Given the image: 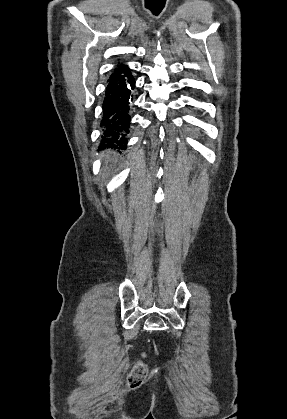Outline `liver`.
Instances as JSON below:
<instances>
[{
    "label": "liver",
    "mask_w": 287,
    "mask_h": 419,
    "mask_svg": "<svg viewBox=\"0 0 287 419\" xmlns=\"http://www.w3.org/2000/svg\"><path fill=\"white\" fill-rule=\"evenodd\" d=\"M103 156L105 157V158H107V159H109L110 158V154L109 153H107V154H103ZM107 163V162H106ZM103 180H104V178H103Z\"/></svg>",
    "instance_id": "1"
}]
</instances>
